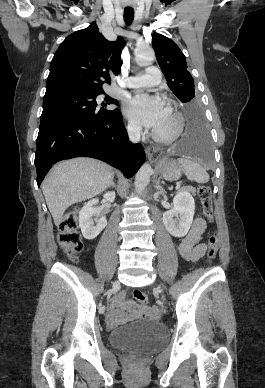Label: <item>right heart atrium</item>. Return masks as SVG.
Returning a JSON list of instances; mask_svg holds the SVG:
<instances>
[{
	"label": "right heart atrium",
	"instance_id": "obj_1",
	"mask_svg": "<svg viewBox=\"0 0 265 388\" xmlns=\"http://www.w3.org/2000/svg\"><path fill=\"white\" fill-rule=\"evenodd\" d=\"M128 129H129V132H130L132 135H140L141 132H142L141 127H140L138 124L133 123V122L129 123Z\"/></svg>",
	"mask_w": 265,
	"mask_h": 388
}]
</instances>
